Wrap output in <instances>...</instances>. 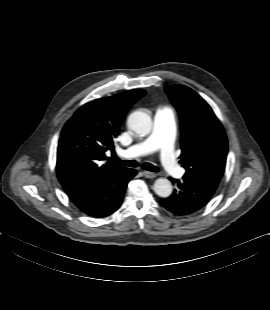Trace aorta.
I'll return each instance as SVG.
<instances>
[{
	"mask_svg": "<svg viewBox=\"0 0 270 310\" xmlns=\"http://www.w3.org/2000/svg\"><path fill=\"white\" fill-rule=\"evenodd\" d=\"M128 125L139 136H146L151 132L152 119L143 111H134L128 118ZM154 192L163 198L172 194L171 182L166 178H158L153 185Z\"/></svg>",
	"mask_w": 270,
	"mask_h": 310,
	"instance_id": "aorta-1",
	"label": "aorta"
}]
</instances>
